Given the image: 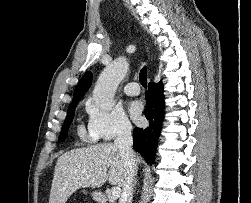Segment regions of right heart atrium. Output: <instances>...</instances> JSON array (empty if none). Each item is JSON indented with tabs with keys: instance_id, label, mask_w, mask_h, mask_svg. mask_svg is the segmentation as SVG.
<instances>
[{
	"instance_id": "1",
	"label": "right heart atrium",
	"mask_w": 251,
	"mask_h": 203,
	"mask_svg": "<svg viewBox=\"0 0 251 203\" xmlns=\"http://www.w3.org/2000/svg\"><path fill=\"white\" fill-rule=\"evenodd\" d=\"M87 108L89 131L96 138L108 142L131 132V123L120 108H114L110 111L103 110L93 101L88 103Z\"/></svg>"
}]
</instances>
